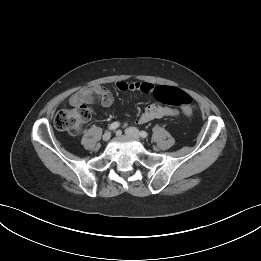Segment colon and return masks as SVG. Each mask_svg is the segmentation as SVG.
Segmentation results:
<instances>
[{"instance_id":"obj_1","label":"colon","mask_w":261,"mask_h":261,"mask_svg":"<svg viewBox=\"0 0 261 261\" xmlns=\"http://www.w3.org/2000/svg\"><path fill=\"white\" fill-rule=\"evenodd\" d=\"M156 99L164 104L178 106L186 116L192 114V98L185 91L175 87H158L154 90ZM92 110L87 105H76L60 110L54 118V125L58 130L71 135L81 132L83 124L87 122Z\"/></svg>"}]
</instances>
